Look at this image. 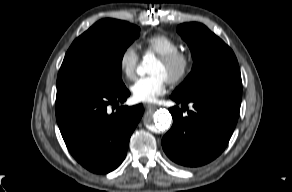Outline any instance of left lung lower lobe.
I'll return each mask as SVG.
<instances>
[{
	"label": "left lung lower lobe",
	"instance_id": "left-lung-lower-lobe-1",
	"mask_svg": "<svg viewBox=\"0 0 292 192\" xmlns=\"http://www.w3.org/2000/svg\"><path fill=\"white\" fill-rule=\"evenodd\" d=\"M241 93L208 92L183 98L171 95L181 109H169L173 125L162 139L166 155L175 163L186 167L205 165L218 157L236 126ZM192 103L194 109L183 114Z\"/></svg>",
	"mask_w": 292,
	"mask_h": 192
}]
</instances>
